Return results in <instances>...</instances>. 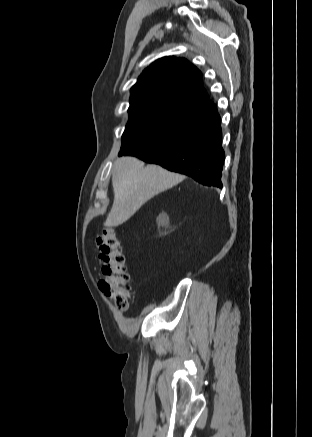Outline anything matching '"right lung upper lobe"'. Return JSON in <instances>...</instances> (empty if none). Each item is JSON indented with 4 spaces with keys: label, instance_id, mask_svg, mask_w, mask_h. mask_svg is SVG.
I'll list each match as a JSON object with an SVG mask.
<instances>
[{
    "label": "right lung upper lobe",
    "instance_id": "cb5924a9",
    "mask_svg": "<svg viewBox=\"0 0 312 437\" xmlns=\"http://www.w3.org/2000/svg\"><path fill=\"white\" fill-rule=\"evenodd\" d=\"M149 104L175 106L198 114L214 105L202 86L201 72L186 59L170 56L152 63L131 88L130 107Z\"/></svg>",
    "mask_w": 312,
    "mask_h": 437
}]
</instances>
